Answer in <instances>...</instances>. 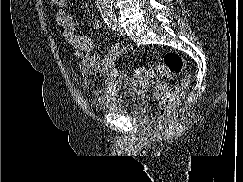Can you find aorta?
<instances>
[{
  "instance_id": "obj_1",
  "label": "aorta",
  "mask_w": 243,
  "mask_h": 182,
  "mask_svg": "<svg viewBox=\"0 0 243 182\" xmlns=\"http://www.w3.org/2000/svg\"><path fill=\"white\" fill-rule=\"evenodd\" d=\"M97 8L105 21H113L112 0H96Z\"/></svg>"
}]
</instances>
